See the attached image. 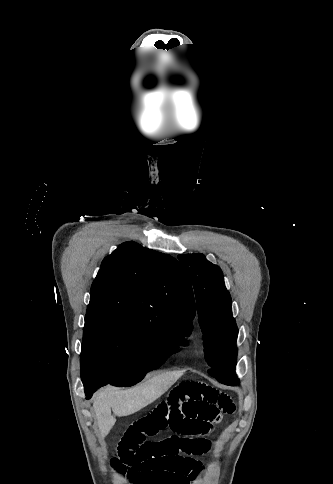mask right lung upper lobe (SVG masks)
Masks as SVG:
<instances>
[{"label": "right lung upper lobe", "instance_id": "1", "mask_svg": "<svg viewBox=\"0 0 333 484\" xmlns=\"http://www.w3.org/2000/svg\"><path fill=\"white\" fill-rule=\"evenodd\" d=\"M90 295L88 312L180 317L188 323L195 317L191 283L180 263L135 242L104 258Z\"/></svg>", "mask_w": 333, "mask_h": 484}]
</instances>
